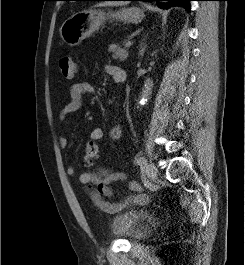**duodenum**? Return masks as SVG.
Returning <instances> with one entry per match:
<instances>
[{
    "label": "duodenum",
    "mask_w": 245,
    "mask_h": 265,
    "mask_svg": "<svg viewBox=\"0 0 245 265\" xmlns=\"http://www.w3.org/2000/svg\"><path fill=\"white\" fill-rule=\"evenodd\" d=\"M125 80H126V77H125L124 80H123V79L117 80V82H118V83H122V82H124Z\"/></svg>",
    "instance_id": "duodenum-1"
}]
</instances>
